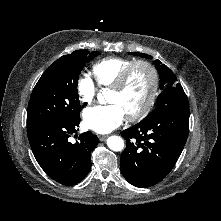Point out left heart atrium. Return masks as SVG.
Instances as JSON below:
<instances>
[{"label": "left heart atrium", "instance_id": "39dd6f15", "mask_svg": "<svg viewBox=\"0 0 221 221\" xmlns=\"http://www.w3.org/2000/svg\"><path fill=\"white\" fill-rule=\"evenodd\" d=\"M125 115L119 104L111 103L86 109L83 114V121L88 129L104 134L120 126L125 119Z\"/></svg>", "mask_w": 221, "mask_h": 221}]
</instances>
